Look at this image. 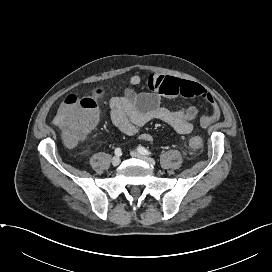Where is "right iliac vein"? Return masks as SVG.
Masks as SVG:
<instances>
[{"label": "right iliac vein", "mask_w": 272, "mask_h": 272, "mask_svg": "<svg viewBox=\"0 0 272 272\" xmlns=\"http://www.w3.org/2000/svg\"><path fill=\"white\" fill-rule=\"evenodd\" d=\"M120 161L121 159L119 156H114L111 160L113 166H118L120 164Z\"/></svg>", "instance_id": "1"}]
</instances>
